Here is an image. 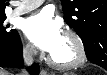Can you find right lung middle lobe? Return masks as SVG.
Returning <instances> with one entry per match:
<instances>
[{
	"label": "right lung middle lobe",
	"instance_id": "dd1d6c3e",
	"mask_svg": "<svg viewBox=\"0 0 107 75\" xmlns=\"http://www.w3.org/2000/svg\"><path fill=\"white\" fill-rule=\"evenodd\" d=\"M6 15H0V42L9 41L18 34L17 30L9 29L10 25L4 22Z\"/></svg>",
	"mask_w": 107,
	"mask_h": 75
}]
</instances>
